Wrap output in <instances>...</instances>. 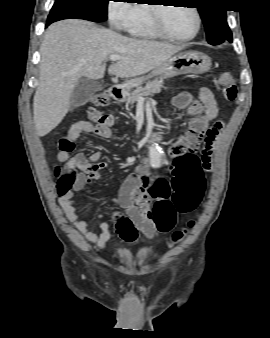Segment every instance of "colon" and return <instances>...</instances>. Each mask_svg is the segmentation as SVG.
Returning a JSON list of instances; mask_svg holds the SVG:
<instances>
[{"label": "colon", "mask_w": 270, "mask_h": 338, "mask_svg": "<svg viewBox=\"0 0 270 338\" xmlns=\"http://www.w3.org/2000/svg\"><path fill=\"white\" fill-rule=\"evenodd\" d=\"M217 90L229 100H233L236 96L235 79L227 72H220L217 76ZM110 103L109 97L105 93H97L91 98V106L88 108V115L94 123L102 125H110L113 123V118L110 115L102 114L99 110L108 106ZM216 126H220L217 123ZM209 132L205 129H200L194 133L193 139L198 144L201 141H207ZM182 139L177 140V144L181 143ZM59 149L65 152H71L73 149L72 143L63 138L60 141ZM202 155L205 158L203 167L209 169L210 148L206 145L202 149ZM76 170L73 166L65 164L63 167L55 168V176L59 186V190H65L69 182L75 177ZM203 179L200 171H196L187 185L180 183L173 184V193L166 194V200L155 205L152 209V218L155 223L163 227H168L177 213H186L193 211L201 202ZM118 224L126 225L130 232H134L129 220L123 216L116 217ZM194 221H189L186 228L176 231L172 236L174 243L182 242L189 231L194 226Z\"/></svg>", "instance_id": "colon-1"}]
</instances>
